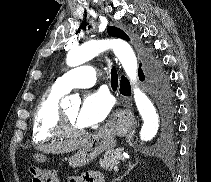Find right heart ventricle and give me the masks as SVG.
I'll list each match as a JSON object with an SVG mask.
<instances>
[{
	"instance_id": "right-heart-ventricle-1",
	"label": "right heart ventricle",
	"mask_w": 211,
	"mask_h": 182,
	"mask_svg": "<svg viewBox=\"0 0 211 182\" xmlns=\"http://www.w3.org/2000/svg\"><path fill=\"white\" fill-rule=\"evenodd\" d=\"M65 92L55 85L40 98L33 116L32 140L35 144L49 142L60 137L56 131V119L60 109V100Z\"/></svg>"
}]
</instances>
